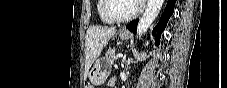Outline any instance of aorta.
Listing matches in <instances>:
<instances>
[{"label": "aorta", "instance_id": "aorta-1", "mask_svg": "<svg viewBox=\"0 0 227 88\" xmlns=\"http://www.w3.org/2000/svg\"><path fill=\"white\" fill-rule=\"evenodd\" d=\"M164 0H148L144 14L139 20L137 27V38H141L158 16Z\"/></svg>", "mask_w": 227, "mask_h": 88}]
</instances>
